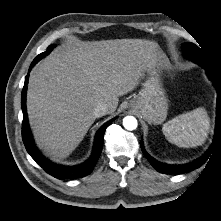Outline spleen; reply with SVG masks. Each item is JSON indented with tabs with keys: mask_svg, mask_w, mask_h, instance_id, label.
<instances>
[{
	"mask_svg": "<svg viewBox=\"0 0 221 221\" xmlns=\"http://www.w3.org/2000/svg\"><path fill=\"white\" fill-rule=\"evenodd\" d=\"M210 129V119L202 107L180 114L166 122L162 131L166 139L178 147L202 145Z\"/></svg>",
	"mask_w": 221,
	"mask_h": 221,
	"instance_id": "1",
	"label": "spleen"
}]
</instances>
